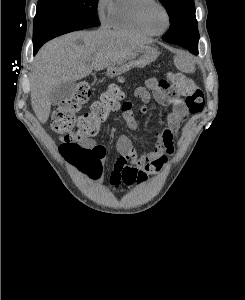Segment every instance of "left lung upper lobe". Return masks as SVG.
<instances>
[{
    "label": "left lung upper lobe",
    "mask_w": 245,
    "mask_h": 300,
    "mask_svg": "<svg viewBox=\"0 0 245 300\" xmlns=\"http://www.w3.org/2000/svg\"><path fill=\"white\" fill-rule=\"evenodd\" d=\"M170 18L169 31L162 39L169 43L187 39L191 46L199 39L194 0H159Z\"/></svg>",
    "instance_id": "left-lung-upper-lobe-1"
}]
</instances>
